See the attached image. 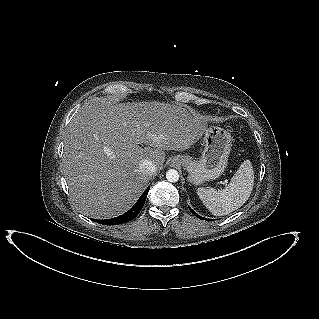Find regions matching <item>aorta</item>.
Segmentation results:
<instances>
[{
	"instance_id": "1",
	"label": "aorta",
	"mask_w": 319,
	"mask_h": 319,
	"mask_svg": "<svg viewBox=\"0 0 319 319\" xmlns=\"http://www.w3.org/2000/svg\"><path fill=\"white\" fill-rule=\"evenodd\" d=\"M166 179L169 182H177L179 180V173L174 169H170L166 172Z\"/></svg>"
}]
</instances>
